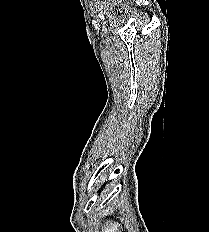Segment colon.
<instances>
[{
    "mask_svg": "<svg viewBox=\"0 0 209 232\" xmlns=\"http://www.w3.org/2000/svg\"><path fill=\"white\" fill-rule=\"evenodd\" d=\"M106 232H118V231L114 226L110 225L106 228Z\"/></svg>",
    "mask_w": 209,
    "mask_h": 232,
    "instance_id": "1",
    "label": "colon"
}]
</instances>
